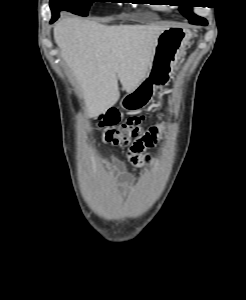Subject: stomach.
<instances>
[{
	"label": "stomach",
	"instance_id": "stomach-1",
	"mask_svg": "<svg viewBox=\"0 0 246 300\" xmlns=\"http://www.w3.org/2000/svg\"><path fill=\"white\" fill-rule=\"evenodd\" d=\"M191 37L192 33L181 27H169L159 35L149 72L135 90L121 99L123 109L139 111L150 103L156 88L170 81L173 66Z\"/></svg>",
	"mask_w": 246,
	"mask_h": 300
}]
</instances>
